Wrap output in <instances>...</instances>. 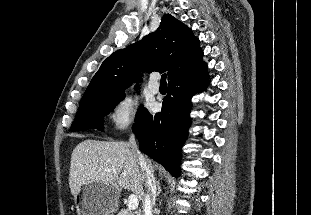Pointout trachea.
Listing matches in <instances>:
<instances>
[{
    "label": "trachea",
    "instance_id": "1",
    "mask_svg": "<svg viewBox=\"0 0 311 215\" xmlns=\"http://www.w3.org/2000/svg\"><path fill=\"white\" fill-rule=\"evenodd\" d=\"M166 78H167V75H166V74H163V75L161 76V80H160V84H161V85H166V84H167Z\"/></svg>",
    "mask_w": 311,
    "mask_h": 215
}]
</instances>
